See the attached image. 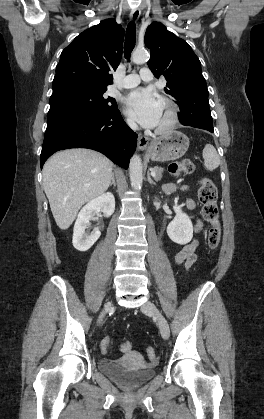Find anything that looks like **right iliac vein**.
I'll return each mask as SVG.
<instances>
[{"instance_id":"1","label":"right iliac vein","mask_w":264,"mask_h":419,"mask_svg":"<svg viewBox=\"0 0 264 419\" xmlns=\"http://www.w3.org/2000/svg\"><path fill=\"white\" fill-rule=\"evenodd\" d=\"M111 307V303L110 302H107L106 304H105V307H104V310L102 311V313L100 314V316H99V323L103 320V318H104V316H105V314H106V312H107V310L109 309Z\"/></svg>"}]
</instances>
